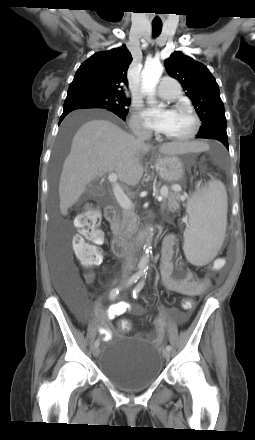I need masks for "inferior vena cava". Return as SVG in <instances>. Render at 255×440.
<instances>
[{
	"instance_id": "1",
	"label": "inferior vena cava",
	"mask_w": 255,
	"mask_h": 440,
	"mask_svg": "<svg viewBox=\"0 0 255 440\" xmlns=\"http://www.w3.org/2000/svg\"><path fill=\"white\" fill-rule=\"evenodd\" d=\"M137 137L139 141H144L145 139L148 138L147 133L145 132H139L137 133ZM133 262H134V257L132 253H129L126 258H125V263L123 266V278H128V275L130 274L131 270L133 269Z\"/></svg>"
}]
</instances>
